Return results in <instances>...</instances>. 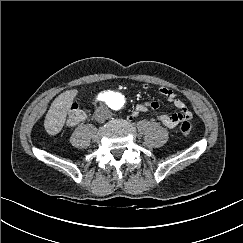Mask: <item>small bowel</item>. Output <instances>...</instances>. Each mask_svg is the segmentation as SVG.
Segmentation results:
<instances>
[{"label":"small bowel","instance_id":"c3829d8e","mask_svg":"<svg viewBox=\"0 0 243 243\" xmlns=\"http://www.w3.org/2000/svg\"><path fill=\"white\" fill-rule=\"evenodd\" d=\"M143 89L148 90L150 88L149 84H143ZM159 93L165 98L167 102H171L178 108V112L173 114H163L157 117V119L167 128H174L184 120L190 121L192 118V113L188 109L187 104L174 93L171 89L167 87H160ZM160 107L159 103L156 101L146 102L139 104L135 107L131 113V118H136L140 114L148 113L150 111L158 110Z\"/></svg>","mask_w":243,"mask_h":243}]
</instances>
